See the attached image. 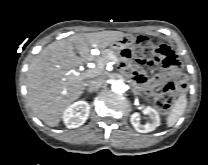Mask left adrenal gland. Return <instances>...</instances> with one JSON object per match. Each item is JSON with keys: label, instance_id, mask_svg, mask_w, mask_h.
Listing matches in <instances>:
<instances>
[{"label": "left adrenal gland", "instance_id": "1", "mask_svg": "<svg viewBox=\"0 0 208 165\" xmlns=\"http://www.w3.org/2000/svg\"><path fill=\"white\" fill-rule=\"evenodd\" d=\"M133 93H134V94H137V91L133 90Z\"/></svg>", "mask_w": 208, "mask_h": 165}]
</instances>
